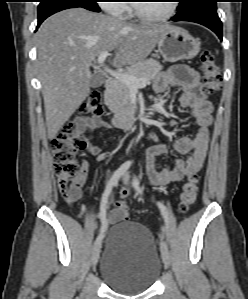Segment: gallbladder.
<instances>
[{"label": "gallbladder", "mask_w": 248, "mask_h": 299, "mask_svg": "<svg viewBox=\"0 0 248 299\" xmlns=\"http://www.w3.org/2000/svg\"><path fill=\"white\" fill-rule=\"evenodd\" d=\"M104 83V78L101 74H93L91 78V87H99Z\"/></svg>", "instance_id": "gallbladder-1"}]
</instances>
